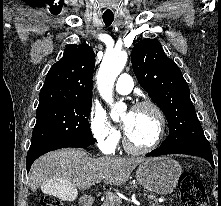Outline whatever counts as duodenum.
I'll return each instance as SVG.
<instances>
[{"label": "duodenum", "instance_id": "obj_1", "mask_svg": "<svg viewBox=\"0 0 221 206\" xmlns=\"http://www.w3.org/2000/svg\"><path fill=\"white\" fill-rule=\"evenodd\" d=\"M94 202H95L94 200H91V203H93V204H94Z\"/></svg>", "mask_w": 221, "mask_h": 206}]
</instances>
